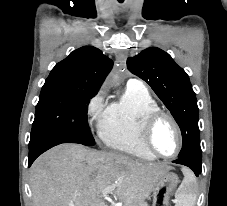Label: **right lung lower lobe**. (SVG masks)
<instances>
[{
    "label": "right lung lower lobe",
    "instance_id": "right-lung-lower-lobe-1",
    "mask_svg": "<svg viewBox=\"0 0 227 206\" xmlns=\"http://www.w3.org/2000/svg\"><path fill=\"white\" fill-rule=\"evenodd\" d=\"M61 143H77V142L69 138L68 136L60 134L45 135L38 138L35 141L30 142L28 167L31 166V164L40 154Z\"/></svg>",
    "mask_w": 227,
    "mask_h": 206
}]
</instances>
